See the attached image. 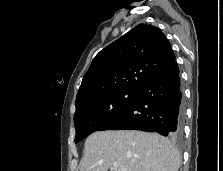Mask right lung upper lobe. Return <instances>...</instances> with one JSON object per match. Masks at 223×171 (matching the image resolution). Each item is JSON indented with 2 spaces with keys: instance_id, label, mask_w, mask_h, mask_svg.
<instances>
[{
  "instance_id": "obj_1",
  "label": "right lung upper lobe",
  "mask_w": 223,
  "mask_h": 171,
  "mask_svg": "<svg viewBox=\"0 0 223 171\" xmlns=\"http://www.w3.org/2000/svg\"><path fill=\"white\" fill-rule=\"evenodd\" d=\"M174 62V52L162 31L139 24L93 59L79 88L76 109L110 93L138 92Z\"/></svg>"
}]
</instances>
